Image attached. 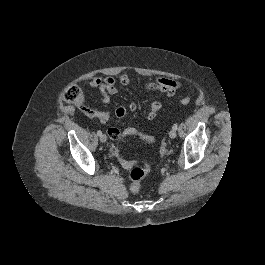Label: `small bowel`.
<instances>
[{
    "label": "small bowel",
    "instance_id": "small-bowel-1",
    "mask_svg": "<svg viewBox=\"0 0 265 265\" xmlns=\"http://www.w3.org/2000/svg\"><path fill=\"white\" fill-rule=\"evenodd\" d=\"M130 82H131L130 77L126 73H122L118 76L117 79H115L112 76L91 77L88 80L87 85L92 88L98 89L100 92L101 102L104 104H108L110 102V97L117 94L118 92L117 83L121 84L122 86H127L130 84ZM179 86H180L179 82L167 78H158L152 82H148L145 84L146 88L150 90H158L164 92L169 96L174 95L177 89L179 88ZM161 108H162V103L157 101L152 102L147 111V118L149 120L154 119L157 113L161 110ZM82 110L89 117L97 118L102 124L107 123L112 116V113L110 111H97V110L88 109L86 107L82 108ZM130 110L132 112L136 111V105L134 103L130 104ZM125 114H126V108L124 106H118L116 108L115 115L118 118H123ZM110 129L118 130L117 128H110Z\"/></svg>",
    "mask_w": 265,
    "mask_h": 265
}]
</instances>
